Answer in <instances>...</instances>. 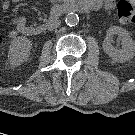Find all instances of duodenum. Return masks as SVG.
<instances>
[{
    "label": "duodenum",
    "instance_id": "410a0bca",
    "mask_svg": "<svg viewBox=\"0 0 135 135\" xmlns=\"http://www.w3.org/2000/svg\"><path fill=\"white\" fill-rule=\"evenodd\" d=\"M62 9L66 12L79 11L81 13H86L91 9V5L82 0H65L62 5ZM43 27L41 25L29 28L26 33L30 35H40L43 33Z\"/></svg>",
    "mask_w": 135,
    "mask_h": 135
}]
</instances>
